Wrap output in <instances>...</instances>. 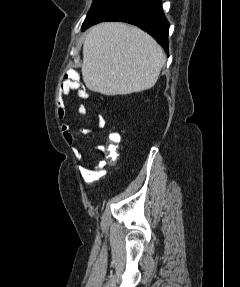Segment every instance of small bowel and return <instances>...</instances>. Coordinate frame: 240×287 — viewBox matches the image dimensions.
Segmentation results:
<instances>
[{
	"instance_id": "obj_1",
	"label": "small bowel",
	"mask_w": 240,
	"mask_h": 287,
	"mask_svg": "<svg viewBox=\"0 0 240 287\" xmlns=\"http://www.w3.org/2000/svg\"><path fill=\"white\" fill-rule=\"evenodd\" d=\"M72 91L77 92V96L81 99H87L88 93L81 88L80 83L77 79L68 78L65 79L59 87L58 95L56 99L57 105V115L60 120H64L66 115V99ZM77 112L81 115L87 113V107L84 104H80L76 108ZM106 126V119L104 116L99 115L97 119V127L102 129ZM82 134H90L93 132L90 128H81L80 129ZM62 133L65 141L69 144L74 142V137L70 132V125L66 122L62 124ZM96 149L100 152L104 151V145H98Z\"/></svg>"
}]
</instances>
